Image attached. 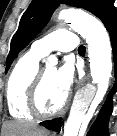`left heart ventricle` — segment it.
I'll list each match as a JSON object with an SVG mask.
<instances>
[{
    "label": "left heart ventricle",
    "mask_w": 117,
    "mask_h": 136,
    "mask_svg": "<svg viewBox=\"0 0 117 136\" xmlns=\"http://www.w3.org/2000/svg\"><path fill=\"white\" fill-rule=\"evenodd\" d=\"M66 94L56 83V69L49 67L44 70V81L40 91V105L45 111H53L61 106Z\"/></svg>",
    "instance_id": "b2bd125f"
}]
</instances>
